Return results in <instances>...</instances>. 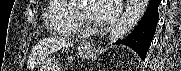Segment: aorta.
I'll list each match as a JSON object with an SVG mask.
<instances>
[{
    "label": "aorta",
    "mask_w": 181,
    "mask_h": 71,
    "mask_svg": "<svg viewBox=\"0 0 181 71\" xmlns=\"http://www.w3.org/2000/svg\"><path fill=\"white\" fill-rule=\"evenodd\" d=\"M148 4L149 0H130L126 11L117 25L111 30L108 41L112 43L131 32L142 19Z\"/></svg>",
    "instance_id": "762f6f07"
}]
</instances>
